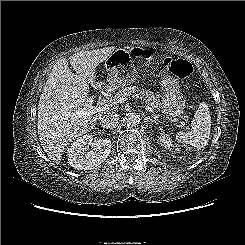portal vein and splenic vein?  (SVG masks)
Returning a JSON list of instances; mask_svg holds the SVG:
<instances>
[{
  "label": "portal vein and splenic vein",
  "instance_id": "portal-vein-and-splenic-vein-1",
  "mask_svg": "<svg viewBox=\"0 0 245 245\" xmlns=\"http://www.w3.org/2000/svg\"><path fill=\"white\" fill-rule=\"evenodd\" d=\"M128 98H120L118 99L116 102H111V103H102L101 105L99 106H93V98H89L84 107L81 108V110H79L78 112L74 113L73 116L75 117H78V118H87L89 117L90 115H93V114H96L98 112H101L103 110H108L110 109V107L114 104H117V103H122L124 101H126ZM144 108L149 111V112H153V108L152 107H149L148 105H145ZM181 123V126L184 127V128H188L187 124L184 122V121H180Z\"/></svg>",
  "mask_w": 245,
  "mask_h": 245
}]
</instances>
